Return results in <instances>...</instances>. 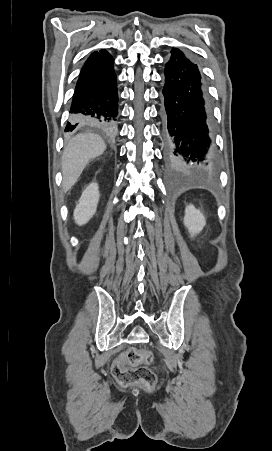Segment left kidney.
I'll return each mask as SVG.
<instances>
[{
  "instance_id": "5707ae66",
  "label": "left kidney",
  "mask_w": 272,
  "mask_h": 451,
  "mask_svg": "<svg viewBox=\"0 0 272 451\" xmlns=\"http://www.w3.org/2000/svg\"><path fill=\"white\" fill-rule=\"evenodd\" d=\"M184 226L189 229L191 235H196V233H199L206 226V220L203 214H201L200 210H196L192 204H189L185 208Z\"/></svg>"
}]
</instances>
